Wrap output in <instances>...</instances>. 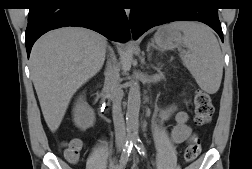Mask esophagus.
Listing matches in <instances>:
<instances>
[{
  "mask_svg": "<svg viewBox=\"0 0 252 169\" xmlns=\"http://www.w3.org/2000/svg\"><path fill=\"white\" fill-rule=\"evenodd\" d=\"M126 14H127V16H129L130 15V10H126Z\"/></svg>",
  "mask_w": 252,
  "mask_h": 169,
  "instance_id": "obj_1",
  "label": "esophagus"
}]
</instances>
